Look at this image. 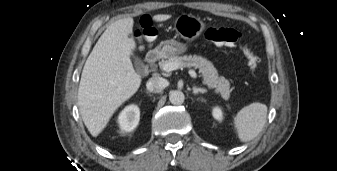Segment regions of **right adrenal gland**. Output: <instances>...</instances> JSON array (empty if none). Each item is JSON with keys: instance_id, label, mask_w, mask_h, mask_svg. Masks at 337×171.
I'll use <instances>...</instances> for the list:
<instances>
[{"instance_id": "1", "label": "right adrenal gland", "mask_w": 337, "mask_h": 171, "mask_svg": "<svg viewBox=\"0 0 337 171\" xmlns=\"http://www.w3.org/2000/svg\"><path fill=\"white\" fill-rule=\"evenodd\" d=\"M146 93H147L149 96H151L150 93H149L148 91H146Z\"/></svg>"}]
</instances>
